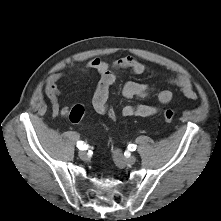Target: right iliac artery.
I'll list each match as a JSON object with an SVG mask.
<instances>
[{
	"instance_id": "1",
	"label": "right iliac artery",
	"mask_w": 221,
	"mask_h": 221,
	"mask_svg": "<svg viewBox=\"0 0 221 221\" xmlns=\"http://www.w3.org/2000/svg\"><path fill=\"white\" fill-rule=\"evenodd\" d=\"M77 147L80 149V150H87V148H88V145H86L84 142H82V141H79L78 143H77Z\"/></svg>"
}]
</instances>
